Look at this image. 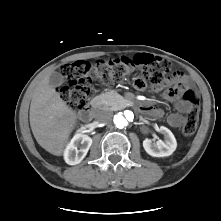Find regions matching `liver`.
Masks as SVG:
<instances>
[{"mask_svg": "<svg viewBox=\"0 0 221 221\" xmlns=\"http://www.w3.org/2000/svg\"><path fill=\"white\" fill-rule=\"evenodd\" d=\"M45 75L35 87L30 104V126L38 144L60 156L77 123V113L63 101Z\"/></svg>", "mask_w": 221, "mask_h": 221, "instance_id": "1", "label": "liver"}]
</instances>
